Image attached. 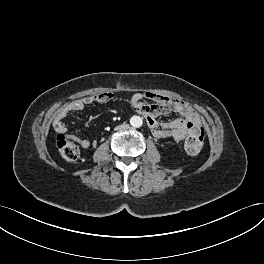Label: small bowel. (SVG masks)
<instances>
[{
    "label": "small bowel",
    "instance_id": "obj_1",
    "mask_svg": "<svg viewBox=\"0 0 264 264\" xmlns=\"http://www.w3.org/2000/svg\"><path fill=\"white\" fill-rule=\"evenodd\" d=\"M114 94L105 92L95 96L84 97L74 100L62 106L55 114L53 127L57 133H65L66 125L64 118L70 112L82 111L87 105L93 103H107L114 99ZM151 101V103L145 102ZM131 104L136 111L145 117L146 122L155 138H173L181 141L189 135L192 124H200L198 114L191 106L179 99H172L165 95L145 92L136 93L131 98ZM174 111L180 115V118L160 122L157 117ZM69 138L78 143L83 148L95 146V141H90L76 135H69Z\"/></svg>",
    "mask_w": 264,
    "mask_h": 264
}]
</instances>
